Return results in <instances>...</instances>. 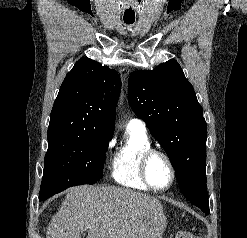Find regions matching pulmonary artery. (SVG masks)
<instances>
[{
  "mask_svg": "<svg viewBox=\"0 0 247 238\" xmlns=\"http://www.w3.org/2000/svg\"><path fill=\"white\" fill-rule=\"evenodd\" d=\"M128 125L145 130V123L140 118H132L129 120Z\"/></svg>",
  "mask_w": 247,
  "mask_h": 238,
  "instance_id": "pulmonary-artery-1",
  "label": "pulmonary artery"
}]
</instances>
